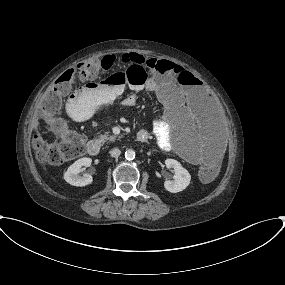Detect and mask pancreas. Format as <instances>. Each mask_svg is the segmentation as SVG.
I'll list each match as a JSON object with an SVG mask.
<instances>
[{"instance_id":"obj_1","label":"pancreas","mask_w":285,"mask_h":285,"mask_svg":"<svg viewBox=\"0 0 285 285\" xmlns=\"http://www.w3.org/2000/svg\"><path fill=\"white\" fill-rule=\"evenodd\" d=\"M116 136L115 135H109L108 133L102 134L99 136V139L102 142H107V141H115L116 140Z\"/></svg>"}]
</instances>
